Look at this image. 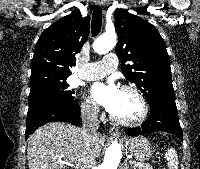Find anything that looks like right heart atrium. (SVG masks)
<instances>
[{
  "label": "right heart atrium",
  "instance_id": "right-heart-atrium-1",
  "mask_svg": "<svg viewBox=\"0 0 200 169\" xmlns=\"http://www.w3.org/2000/svg\"><path fill=\"white\" fill-rule=\"evenodd\" d=\"M80 112L88 120H97L101 116L98 105L88 97L83 98L80 104Z\"/></svg>",
  "mask_w": 200,
  "mask_h": 169
}]
</instances>
